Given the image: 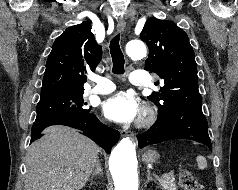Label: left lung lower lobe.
I'll return each mask as SVG.
<instances>
[{
    "instance_id": "0a47b994",
    "label": "left lung lower lobe",
    "mask_w": 238,
    "mask_h": 190,
    "mask_svg": "<svg viewBox=\"0 0 238 190\" xmlns=\"http://www.w3.org/2000/svg\"><path fill=\"white\" fill-rule=\"evenodd\" d=\"M137 137L140 148L173 139H189L211 146L202 106L183 105L158 112L155 124Z\"/></svg>"
}]
</instances>
